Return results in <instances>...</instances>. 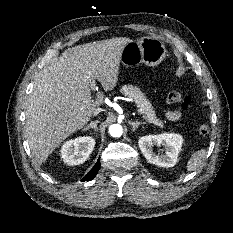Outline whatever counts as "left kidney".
Wrapping results in <instances>:
<instances>
[{"instance_id": "left-kidney-1", "label": "left kidney", "mask_w": 233, "mask_h": 233, "mask_svg": "<svg viewBox=\"0 0 233 233\" xmlns=\"http://www.w3.org/2000/svg\"><path fill=\"white\" fill-rule=\"evenodd\" d=\"M139 148L147 161L160 167H173L178 161V155L183 144V138L176 133H163L143 136L138 140ZM164 146L165 153L157 154L153 147Z\"/></svg>"}]
</instances>
